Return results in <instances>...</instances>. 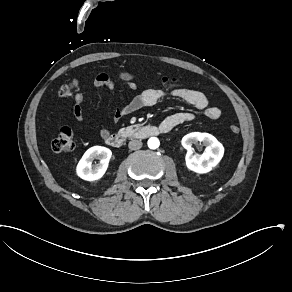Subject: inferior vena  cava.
Instances as JSON below:
<instances>
[{"label":"inferior vena cava","mask_w":292,"mask_h":292,"mask_svg":"<svg viewBox=\"0 0 292 292\" xmlns=\"http://www.w3.org/2000/svg\"><path fill=\"white\" fill-rule=\"evenodd\" d=\"M129 149L138 150L142 147V142L139 140H132L128 144Z\"/></svg>","instance_id":"obj_1"}]
</instances>
